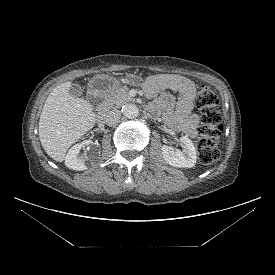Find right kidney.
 <instances>
[{"mask_svg": "<svg viewBox=\"0 0 275 275\" xmlns=\"http://www.w3.org/2000/svg\"><path fill=\"white\" fill-rule=\"evenodd\" d=\"M89 144V141H83L74 145L65 157V165L73 170L81 171L87 169L86 159L79 156L80 150Z\"/></svg>", "mask_w": 275, "mask_h": 275, "instance_id": "ca27d5eb", "label": "right kidney"}]
</instances>
